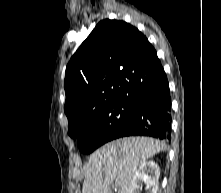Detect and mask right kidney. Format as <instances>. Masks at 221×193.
<instances>
[{"label":"right kidney","mask_w":221,"mask_h":193,"mask_svg":"<svg viewBox=\"0 0 221 193\" xmlns=\"http://www.w3.org/2000/svg\"><path fill=\"white\" fill-rule=\"evenodd\" d=\"M160 168L154 161L144 162L132 178L130 193H140L141 182H145L148 193H157Z\"/></svg>","instance_id":"1"}]
</instances>
